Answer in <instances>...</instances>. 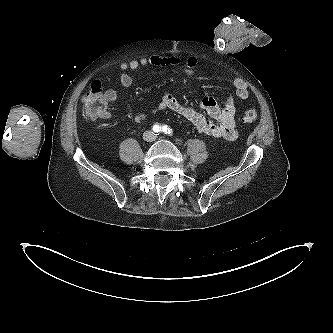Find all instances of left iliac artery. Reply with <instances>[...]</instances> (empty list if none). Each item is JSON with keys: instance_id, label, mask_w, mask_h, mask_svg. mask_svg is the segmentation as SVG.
Segmentation results:
<instances>
[{"instance_id": "44dca946", "label": "left iliac artery", "mask_w": 333, "mask_h": 333, "mask_svg": "<svg viewBox=\"0 0 333 333\" xmlns=\"http://www.w3.org/2000/svg\"><path fill=\"white\" fill-rule=\"evenodd\" d=\"M162 131H163L165 134H171V133H172V129L169 128L167 125L162 126Z\"/></svg>"}]
</instances>
